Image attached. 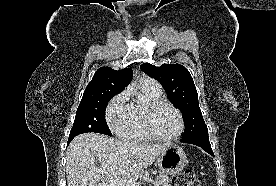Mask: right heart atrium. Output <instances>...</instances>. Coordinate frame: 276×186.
Returning a JSON list of instances; mask_svg holds the SVG:
<instances>
[{"mask_svg": "<svg viewBox=\"0 0 276 186\" xmlns=\"http://www.w3.org/2000/svg\"><path fill=\"white\" fill-rule=\"evenodd\" d=\"M128 92L122 91L112 98L106 109V119L113 131L120 132L128 125L130 113L128 108Z\"/></svg>", "mask_w": 276, "mask_h": 186, "instance_id": "obj_1", "label": "right heart atrium"}]
</instances>
